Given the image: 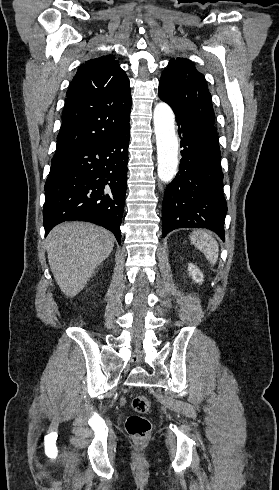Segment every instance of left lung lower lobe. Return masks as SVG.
I'll return each instance as SVG.
<instances>
[{"mask_svg": "<svg viewBox=\"0 0 279 490\" xmlns=\"http://www.w3.org/2000/svg\"><path fill=\"white\" fill-rule=\"evenodd\" d=\"M181 137L179 172L167 186L162 236L178 228H206L225 240L221 152L214 124L175 113Z\"/></svg>", "mask_w": 279, "mask_h": 490, "instance_id": "0a47b994", "label": "left lung lower lobe"}]
</instances>
